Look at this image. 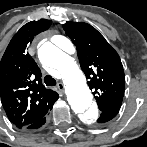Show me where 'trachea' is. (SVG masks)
<instances>
[{
	"label": "trachea",
	"mask_w": 147,
	"mask_h": 147,
	"mask_svg": "<svg viewBox=\"0 0 147 147\" xmlns=\"http://www.w3.org/2000/svg\"><path fill=\"white\" fill-rule=\"evenodd\" d=\"M44 82L47 86H55L56 80L51 75H46L44 78Z\"/></svg>",
	"instance_id": "obj_1"
}]
</instances>
